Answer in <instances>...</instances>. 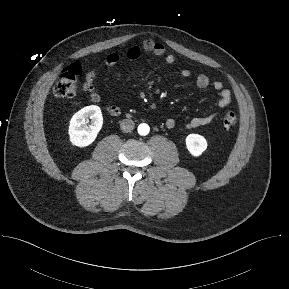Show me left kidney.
Instances as JSON below:
<instances>
[{"label": "left kidney", "instance_id": "1", "mask_svg": "<svg viewBox=\"0 0 289 289\" xmlns=\"http://www.w3.org/2000/svg\"><path fill=\"white\" fill-rule=\"evenodd\" d=\"M185 141L188 151L195 157L200 156L207 149L206 139L199 134H189Z\"/></svg>", "mask_w": 289, "mask_h": 289}]
</instances>
